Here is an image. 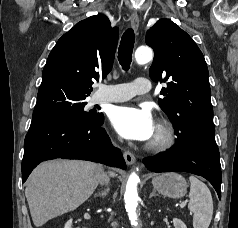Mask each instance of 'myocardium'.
I'll return each mask as SVG.
<instances>
[{
  "label": "myocardium",
  "instance_id": "f54148a6",
  "mask_svg": "<svg viewBox=\"0 0 238 228\" xmlns=\"http://www.w3.org/2000/svg\"><path fill=\"white\" fill-rule=\"evenodd\" d=\"M175 134L170 123L160 121L156 127L155 137L146 144V149L152 152H162L173 146Z\"/></svg>",
  "mask_w": 238,
  "mask_h": 228
}]
</instances>
